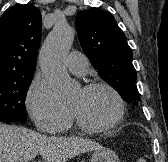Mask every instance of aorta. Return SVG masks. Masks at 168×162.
Returning a JSON list of instances; mask_svg holds the SVG:
<instances>
[{
    "instance_id": "obj_1",
    "label": "aorta",
    "mask_w": 168,
    "mask_h": 162,
    "mask_svg": "<svg viewBox=\"0 0 168 162\" xmlns=\"http://www.w3.org/2000/svg\"><path fill=\"white\" fill-rule=\"evenodd\" d=\"M74 35V29L65 21L57 22L39 53L42 73L56 96L61 100L71 99L76 91V86L64 64L65 57L72 46Z\"/></svg>"
}]
</instances>
